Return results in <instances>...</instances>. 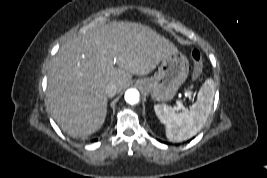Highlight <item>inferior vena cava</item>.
Masks as SVG:
<instances>
[{
  "label": "inferior vena cava",
  "mask_w": 267,
  "mask_h": 178,
  "mask_svg": "<svg viewBox=\"0 0 267 178\" xmlns=\"http://www.w3.org/2000/svg\"><path fill=\"white\" fill-rule=\"evenodd\" d=\"M117 92V86L113 83L107 84L105 87V93L108 97H113Z\"/></svg>",
  "instance_id": "inferior-vena-cava-1"
}]
</instances>
